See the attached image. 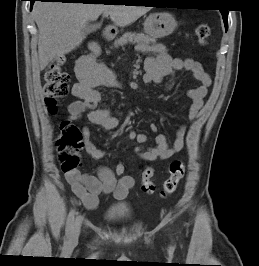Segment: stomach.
I'll return each instance as SVG.
<instances>
[{
	"label": "stomach",
	"mask_w": 259,
	"mask_h": 266,
	"mask_svg": "<svg viewBox=\"0 0 259 266\" xmlns=\"http://www.w3.org/2000/svg\"><path fill=\"white\" fill-rule=\"evenodd\" d=\"M177 27L175 18L169 13H154L144 22L145 33L154 38H164L173 33Z\"/></svg>",
	"instance_id": "stomach-1"
}]
</instances>
